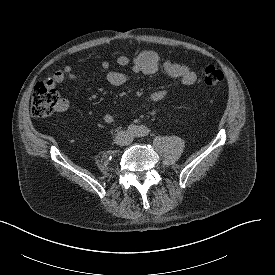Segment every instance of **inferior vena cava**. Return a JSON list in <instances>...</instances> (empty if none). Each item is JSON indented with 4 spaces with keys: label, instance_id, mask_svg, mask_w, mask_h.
I'll return each instance as SVG.
<instances>
[{
    "label": "inferior vena cava",
    "instance_id": "602c4592",
    "mask_svg": "<svg viewBox=\"0 0 275 275\" xmlns=\"http://www.w3.org/2000/svg\"><path fill=\"white\" fill-rule=\"evenodd\" d=\"M132 142L131 136L126 131H120L116 134L115 143L118 145H128Z\"/></svg>",
    "mask_w": 275,
    "mask_h": 275
}]
</instances>
